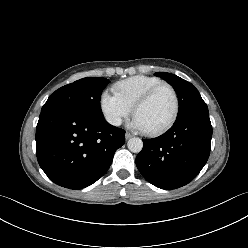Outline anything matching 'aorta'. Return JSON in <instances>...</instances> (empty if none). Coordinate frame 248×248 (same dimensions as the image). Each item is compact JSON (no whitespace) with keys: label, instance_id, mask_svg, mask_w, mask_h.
<instances>
[{"label":"aorta","instance_id":"aorta-1","mask_svg":"<svg viewBox=\"0 0 248 248\" xmlns=\"http://www.w3.org/2000/svg\"><path fill=\"white\" fill-rule=\"evenodd\" d=\"M128 149L133 153H139L143 148V142L140 138L134 137L127 143Z\"/></svg>","mask_w":248,"mask_h":248}]
</instances>
